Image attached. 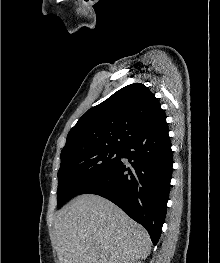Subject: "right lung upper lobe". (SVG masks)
<instances>
[{"label":"right lung upper lobe","instance_id":"1","mask_svg":"<svg viewBox=\"0 0 220 263\" xmlns=\"http://www.w3.org/2000/svg\"><path fill=\"white\" fill-rule=\"evenodd\" d=\"M167 131L166 116L155 95L134 83L90 108L70 130L61 155L105 147L124 149L138 138H157Z\"/></svg>","mask_w":220,"mask_h":263}]
</instances>
